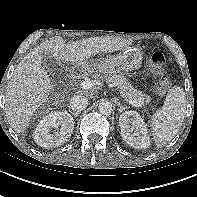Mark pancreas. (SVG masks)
Segmentation results:
<instances>
[{
	"instance_id": "obj_1",
	"label": "pancreas",
	"mask_w": 197,
	"mask_h": 197,
	"mask_svg": "<svg viewBox=\"0 0 197 197\" xmlns=\"http://www.w3.org/2000/svg\"><path fill=\"white\" fill-rule=\"evenodd\" d=\"M95 80H102L110 83L112 86H116L119 88L121 96L126 101H146L149 102L150 98L147 95L142 94L141 91L134 89L133 86L126 80V78L122 74L110 73L101 75L99 73H95L93 75Z\"/></svg>"
}]
</instances>
